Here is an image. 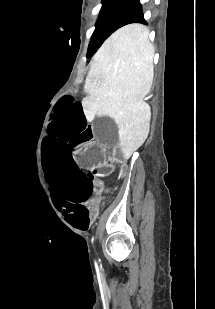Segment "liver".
<instances>
[{
  "label": "liver",
  "instance_id": "obj_1",
  "mask_svg": "<svg viewBox=\"0 0 215 309\" xmlns=\"http://www.w3.org/2000/svg\"><path fill=\"white\" fill-rule=\"evenodd\" d=\"M153 56L148 26L126 24L98 48L86 76L84 112L114 118L124 159H130L148 136L151 110L143 98L153 82Z\"/></svg>",
  "mask_w": 215,
  "mask_h": 309
}]
</instances>
